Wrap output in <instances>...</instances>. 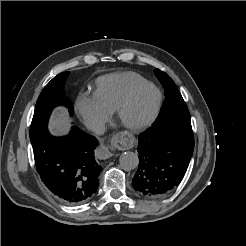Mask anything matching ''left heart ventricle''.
Here are the masks:
<instances>
[{
    "label": "left heart ventricle",
    "instance_id": "1",
    "mask_svg": "<svg viewBox=\"0 0 246 246\" xmlns=\"http://www.w3.org/2000/svg\"><path fill=\"white\" fill-rule=\"evenodd\" d=\"M154 96L152 90H146L139 94L126 110L125 119L130 122H138L145 118L151 109Z\"/></svg>",
    "mask_w": 246,
    "mask_h": 246
}]
</instances>
